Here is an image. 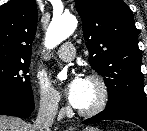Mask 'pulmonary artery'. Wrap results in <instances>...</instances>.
<instances>
[{"mask_svg":"<svg viewBox=\"0 0 147 131\" xmlns=\"http://www.w3.org/2000/svg\"><path fill=\"white\" fill-rule=\"evenodd\" d=\"M57 55L64 61H71L75 56V48L71 42H66L59 47Z\"/></svg>","mask_w":147,"mask_h":131,"instance_id":"1","label":"pulmonary artery"}]
</instances>
